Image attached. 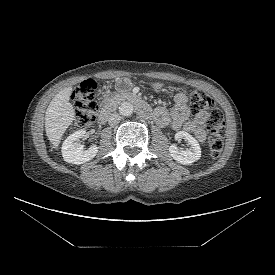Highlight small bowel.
Instances as JSON below:
<instances>
[{
    "label": "small bowel",
    "mask_w": 275,
    "mask_h": 275,
    "mask_svg": "<svg viewBox=\"0 0 275 275\" xmlns=\"http://www.w3.org/2000/svg\"><path fill=\"white\" fill-rule=\"evenodd\" d=\"M116 89L118 91H125L131 87V81L128 78H120L117 80ZM152 87L155 90H161L166 87L163 83H153ZM174 106L168 111L163 107H157L154 110V119L161 127H170L173 130L184 129L192 132L196 139L200 142L205 140V124L208 119V113L201 111L193 118H190L189 109L187 106V96L183 92H179L174 97Z\"/></svg>",
    "instance_id": "c3829d8e"
}]
</instances>
